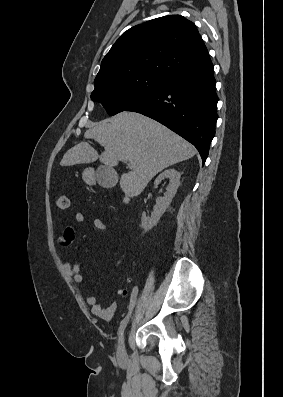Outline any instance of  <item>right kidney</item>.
Segmentation results:
<instances>
[{"mask_svg": "<svg viewBox=\"0 0 283 397\" xmlns=\"http://www.w3.org/2000/svg\"><path fill=\"white\" fill-rule=\"evenodd\" d=\"M180 177V172H178L174 168H170L160 173L159 176L155 179V187H157L158 184L164 179H169L170 183L166 188V193L164 194V196L156 200V205L154 207V211L151 214V217H146L145 213H143L141 218V224L142 228L145 231H149L157 224L163 213L166 211L167 207L170 205L180 185Z\"/></svg>", "mask_w": 283, "mask_h": 397, "instance_id": "1", "label": "right kidney"}]
</instances>
